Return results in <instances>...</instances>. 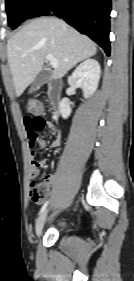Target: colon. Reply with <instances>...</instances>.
<instances>
[{
    "label": "colon",
    "mask_w": 134,
    "mask_h": 281,
    "mask_svg": "<svg viewBox=\"0 0 134 281\" xmlns=\"http://www.w3.org/2000/svg\"><path fill=\"white\" fill-rule=\"evenodd\" d=\"M41 103L36 100H31L28 103V110L32 113H39L41 111ZM47 193V186L44 183L31 182L30 197L34 202L40 203L43 201Z\"/></svg>",
    "instance_id": "obj_1"
}]
</instances>
